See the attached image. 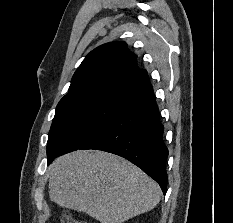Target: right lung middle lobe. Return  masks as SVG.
<instances>
[{
    "mask_svg": "<svg viewBox=\"0 0 233 223\" xmlns=\"http://www.w3.org/2000/svg\"><path fill=\"white\" fill-rule=\"evenodd\" d=\"M121 91H91L64 96L57 105L47 151L71 152L108 125L123 109Z\"/></svg>",
    "mask_w": 233,
    "mask_h": 223,
    "instance_id": "obj_1",
    "label": "right lung middle lobe"
}]
</instances>
